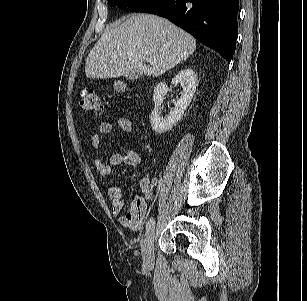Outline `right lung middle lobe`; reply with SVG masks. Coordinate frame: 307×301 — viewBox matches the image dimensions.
<instances>
[{"label":"right lung middle lobe","mask_w":307,"mask_h":301,"mask_svg":"<svg viewBox=\"0 0 307 301\" xmlns=\"http://www.w3.org/2000/svg\"><path fill=\"white\" fill-rule=\"evenodd\" d=\"M154 1L156 0H108V3L125 11L139 12Z\"/></svg>","instance_id":"dd1d6c3e"}]
</instances>
